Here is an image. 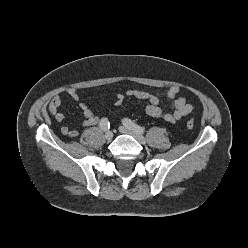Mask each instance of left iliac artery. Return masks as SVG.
Listing matches in <instances>:
<instances>
[{
    "label": "left iliac artery",
    "mask_w": 248,
    "mask_h": 248,
    "mask_svg": "<svg viewBox=\"0 0 248 248\" xmlns=\"http://www.w3.org/2000/svg\"><path fill=\"white\" fill-rule=\"evenodd\" d=\"M123 124L127 127H129L130 129L134 130L135 132H138V133H141L143 134L145 132V128L134 123L133 121H131L130 119L128 118H125L123 120Z\"/></svg>",
    "instance_id": "obj_1"
}]
</instances>
